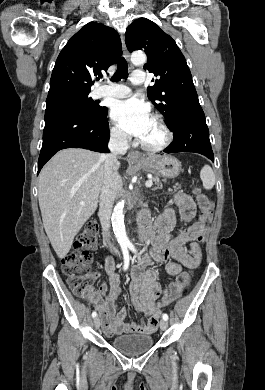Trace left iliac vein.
Here are the masks:
<instances>
[{"instance_id": "left-iliac-vein-1", "label": "left iliac vein", "mask_w": 265, "mask_h": 390, "mask_svg": "<svg viewBox=\"0 0 265 390\" xmlns=\"http://www.w3.org/2000/svg\"><path fill=\"white\" fill-rule=\"evenodd\" d=\"M159 325H160V328H161L162 330H166V329L168 328V322L165 321V320H161L160 323H159Z\"/></svg>"}]
</instances>
